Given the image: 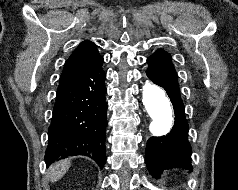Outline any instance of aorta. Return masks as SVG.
I'll use <instances>...</instances> for the list:
<instances>
[{"mask_svg":"<svg viewBox=\"0 0 238 190\" xmlns=\"http://www.w3.org/2000/svg\"><path fill=\"white\" fill-rule=\"evenodd\" d=\"M142 101L152 121L150 131L154 136L168 133L173 123L171 103L165 91L147 81L143 86Z\"/></svg>","mask_w":238,"mask_h":190,"instance_id":"aorta-1","label":"aorta"}]
</instances>
